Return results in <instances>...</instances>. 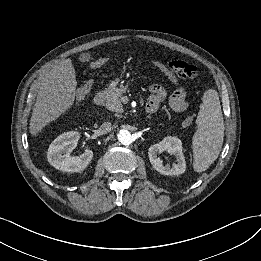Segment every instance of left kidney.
Here are the masks:
<instances>
[{
	"label": "left kidney",
	"mask_w": 261,
	"mask_h": 261,
	"mask_svg": "<svg viewBox=\"0 0 261 261\" xmlns=\"http://www.w3.org/2000/svg\"><path fill=\"white\" fill-rule=\"evenodd\" d=\"M168 151L177 159L172 167L164 166L158 154ZM149 160L153 168L164 175H180L186 170L185 158L182 152V142L177 137L167 136L160 143L151 145L148 150Z\"/></svg>",
	"instance_id": "left-kidney-1"
}]
</instances>
